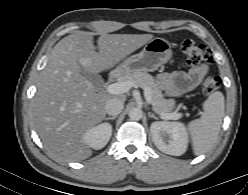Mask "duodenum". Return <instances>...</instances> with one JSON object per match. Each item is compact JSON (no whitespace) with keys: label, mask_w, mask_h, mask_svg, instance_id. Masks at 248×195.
Returning a JSON list of instances; mask_svg holds the SVG:
<instances>
[{"label":"duodenum","mask_w":248,"mask_h":195,"mask_svg":"<svg viewBox=\"0 0 248 195\" xmlns=\"http://www.w3.org/2000/svg\"><path fill=\"white\" fill-rule=\"evenodd\" d=\"M118 74H119V72H118V71H114V72H112V73L110 74V76H109V79H110V80L115 79V78L118 76Z\"/></svg>","instance_id":"410a0bca"}]
</instances>
